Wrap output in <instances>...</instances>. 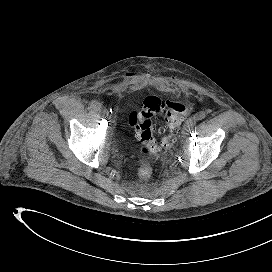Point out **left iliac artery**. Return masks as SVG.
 Segmentation results:
<instances>
[{
    "instance_id": "1",
    "label": "left iliac artery",
    "mask_w": 272,
    "mask_h": 272,
    "mask_svg": "<svg viewBox=\"0 0 272 272\" xmlns=\"http://www.w3.org/2000/svg\"><path fill=\"white\" fill-rule=\"evenodd\" d=\"M205 116H206V114L204 112H200V113L194 115L193 119H194V121L202 120L205 118Z\"/></svg>"
}]
</instances>
